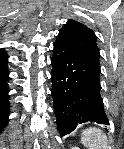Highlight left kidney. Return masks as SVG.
<instances>
[{"label":"left kidney","mask_w":124,"mask_h":149,"mask_svg":"<svg viewBox=\"0 0 124 149\" xmlns=\"http://www.w3.org/2000/svg\"><path fill=\"white\" fill-rule=\"evenodd\" d=\"M72 149H78L77 147H73Z\"/></svg>","instance_id":"5707ae66"}]
</instances>
